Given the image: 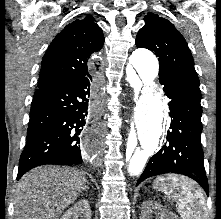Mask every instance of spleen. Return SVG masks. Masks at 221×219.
<instances>
[{
  "mask_svg": "<svg viewBox=\"0 0 221 219\" xmlns=\"http://www.w3.org/2000/svg\"><path fill=\"white\" fill-rule=\"evenodd\" d=\"M155 188L168 198H174L182 219H207L203 192L194 181L170 174L156 179Z\"/></svg>",
  "mask_w": 221,
  "mask_h": 219,
  "instance_id": "obj_1",
  "label": "spleen"
}]
</instances>
